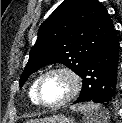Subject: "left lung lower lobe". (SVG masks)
Wrapping results in <instances>:
<instances>
[{"label": "left lung lower lobe", "instance_id": "1", "mask_svg": "<svg viewBox=\"0 0 122 123\" xmlns=\"http://www.w3.org/2000/svg\"><path fill=\"white\" fill-rule=\"evenodd\" d=\"M119 41L114 28L94 51L80 77L81 93L75 103H109L117 96Z\"/></svg>", "mask_w": 122, "mask_h": 123}]
</instances>
